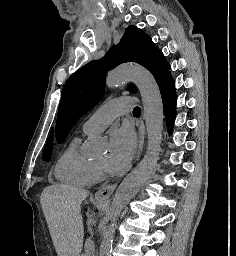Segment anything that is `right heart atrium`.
Masks as SVG:
<instances>
[{"mask_svg": "<svg viewBox=\"0 0 236 256\" xmlns=\"http://www.w3.org/2000/svg\"><path fill=\"white\" fill-rule=\"evenodd\" d=\"M104 177H105V174L103 170L99 166L94 164L92 183H98L102 181Z\"/></svg>", "mask_w": 236, "mask_h": 256, "instance_id": "1", "label": "right heart atrium"}]
</instances>
